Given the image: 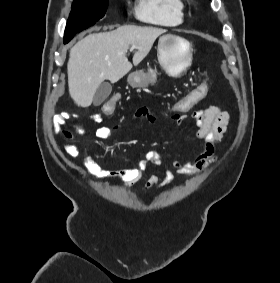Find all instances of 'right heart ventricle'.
I'll return each mask as SVG.
<instances>
[{
	"label": "right heart ventricle",
	"mask_w": 280,
	"mask_h": 283,
	"mask_svg": "<svg viewBox=\"0 0 280 283\" xmlns=\"http://www.w3.org/2000/svg\"><path fill=\"white\" fill-rule=\"evenodd\" d=\"M135 15L138 19L162 26H176L183 22V0H137Z\"/></svg>",
	"instance_id": "1"
}]
</instances>
